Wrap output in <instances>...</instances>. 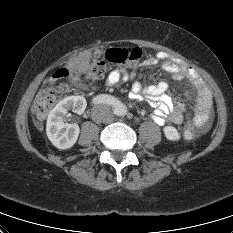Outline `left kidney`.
I'll use <instances>...</instances> for the list:
<instances>
[{
  "label": "left kidney",
  "mask_w": 233,
  "mask_h": 233,
  "mask_svg": "<svg viewBox=\"0 0 233 233\" xmlns=\"http://www.w3.org/2000/svg\"><path fill=\"white\" fill-rule=\"evenodd\" d=\"M164 134L168 140L177 141L180 139V134L175 127L167 126L164 128Z\"/></svg>",
  "instance_id": "1"
}]
</instances>
